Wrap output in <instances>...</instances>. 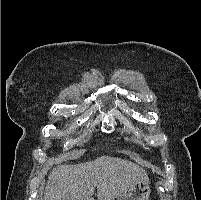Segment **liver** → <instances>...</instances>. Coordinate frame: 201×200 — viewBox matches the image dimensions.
Returning <instances> with one entry per match:
<instances>
[{"label":"liver","instance_id":"liver-1","mask_svg":"<svg viewBox=\"0 0 201 200\" xmlns=\"http://www.w3.org/2000/svg\"><path fill=\"white\" fill-rule=\"evenodd\" d=\"M140 166L120 158L101 156L76 164L58 165L52 169L45 188L44 200H111L139 181H148Z\"/></svg>","mask_w":201,"mask_h":200}]
</instances>
